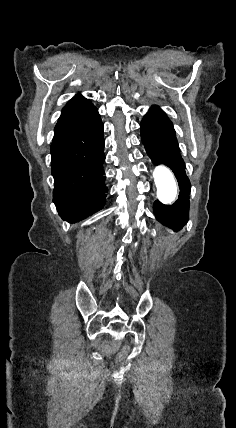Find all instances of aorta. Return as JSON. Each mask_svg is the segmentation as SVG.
Listing matches in <instances>:
<instances>
[{
	"instance_id": "762f6f07",
	"label": "aorta",
	"mask_w": 236,
	"mask_h": 428,
	"mask_svg": "<svg viewBox=\"0 0 236 428\" xmlns=\"http://www.w3.org/2000/svg\"><path fill=\"white\" fill-rule=\"evenodd\" d=\"M153 178L157 188V198L163 204H171L177 196V185L173 173L166 166L155 167Z\"/></svg>"
}]
</instances>
